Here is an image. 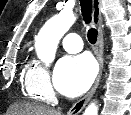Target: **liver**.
<instances>
[{
  "mask_svg": "<svg viewBox=\"0 0 131 115\" xmlns=\"http://www.w3.org/2000/svg\"><path fill=\"white\" fill-rule=\"evenodd\" d=\"M9 115H61L57 110L35 104H14L7 112Z\"/></svg>",
  "mask_w": 131,
  "mask_h": 115,
  "instance_id": "6515ba94",
  "label": "liver"
}]
</instances>
